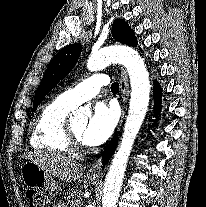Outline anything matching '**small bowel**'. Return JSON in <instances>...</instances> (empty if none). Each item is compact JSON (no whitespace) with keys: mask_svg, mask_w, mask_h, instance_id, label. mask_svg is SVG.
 <instances>
[{"mask_svg":"<svg viewBox=\"0 0 206 207\" xmlns=\"http://www.w3.org/2000/svg\"><path fill=\"white\" fill-rule=\"evenodd\" d=\"M56 207H65L63 204H58Z\"/></svg>","mask_w":206,"mask_h":207,"instance_id":"small-bowel-1","label":"small bowel"}]
</instances>
